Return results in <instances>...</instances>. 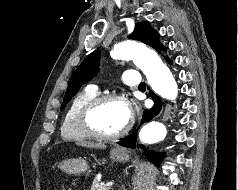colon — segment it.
Returning <instances> with one entry per match:
<instances>
[{"label":"colon","mask_w":238,"mask_h":190,"mask_svg":"<svg viewBox=\"0 0 238 190\" xmlns=\"http://www.w3.org/2000/svg\"><path fill=\"white\" fill-rule=\"evenodd\" d=\"M63 190H74L72 187H66Z\"/></svg>","instance_id":"colon-1"}]
</instances>
